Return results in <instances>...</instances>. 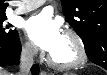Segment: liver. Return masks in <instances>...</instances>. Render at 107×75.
I'll list each match as a JSON object with an SVG mask.
<instances>
[{"mask_svg":"<svg viewBox=\"0 0 107 75\" xmlns=\"http://www.w3.org/2000/svg\"><path fill=\"white\" fill-rule=\"evenodd\" d=\"M0 75H8V72H6L5 70L1 69L0 70Z\"/></svg>","mask_w":107,"mask_h":75,"instance_id":"1","label":"liver"}]
</instances>
